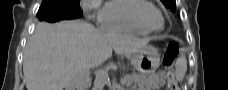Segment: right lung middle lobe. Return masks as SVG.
I'll list each match as a JSON object with an SVG mask.
<instances>
[{"instance_id":"right-lung-middle-lobe-1","label":"right lung middle lobe","mask_w":228,"mask_h":90,"mask_svg":"<svg viewBox=\"0 0 228 90\" xmlns=\"http://www.w3.org/2000/svg\"><path fill=\"white\" fill-rule=\"evenodd\" d=\"M42 3L56 6L62 13L78 18L82 12L80 9V0H42Z\"/></svg>"}]
</instances>
